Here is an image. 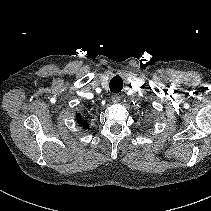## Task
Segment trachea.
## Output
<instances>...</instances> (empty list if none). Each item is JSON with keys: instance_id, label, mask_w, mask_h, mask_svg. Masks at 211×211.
Here are the masks:
<instances>
[{"instance_id": "obj_1", "label": "trachea", "mask_w": 211, "mask_h": 211, "mask_svg": "<svg viewBox=\"0 0 211 211\" xmlns=\"http://www.w3.org/2000/svg\"><path fill=\"white\" fill-rule=\"evenodd\" d=\"M110 90L114 93H118L122 90L123 88V81L120 76H115L111 79L109 83Z\"/></svg>"}]
</instances>
